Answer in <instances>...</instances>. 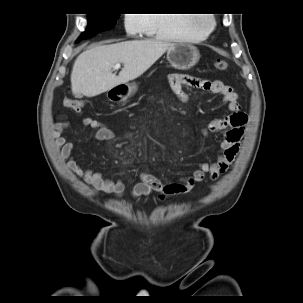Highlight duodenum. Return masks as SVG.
Instances as JSON below:
<instances>
[{
  "mask_svg": "<svg viewBox=\"0 0 303 303\" xmlns=\"http://www.w3.org/2000/svg\"><path fill=\"white\" fill-rule=\"evenodd\" d=\"M115 92H116V98L119 99L124 95L125 90L124 89H116Z\"/></svg>",
  "mask_w": 303,
  "mask_h": 303,
  "instance_id": "1",
  "label": "duodenum"
}]
</instances>
